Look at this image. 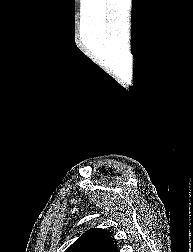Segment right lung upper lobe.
Masks as SVG:
<instances>
[{
	"mask_svg": "<svg viewBox=\"0 0 193 252\" xmlns=\"http://www.w3.org/2000/svg\"><path fill=\"white\" fill-rule=\"evenodd\" d=\"M65 252H118L109 231L94 228L86 231Z\"/></svg>",
	"mask_w": 193,
	"mask_h": 252,
	"instance_id": "cb5924a9",
	"label": "right lung upper lobe"
}]
</instances>
